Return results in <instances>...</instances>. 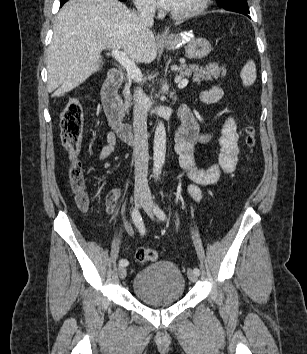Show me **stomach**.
I'll list each match as a JSON object with an SVG mask.
<instances>
[{
    "mask_svg": "<svg viewBox=\"0 0 307 354\" xmlns=\"http://www.w3.org/2000/svg\"><path fill=\"white\" fill-rule=\"evenodd\" d=\"M160 44L167 49H178L187 43L185 47L186 56L190 59H203L212 50L210 42L205 38H194L191 32L170 34L160 39Z\"/></svg>",
    "mask_w": 307,
    "mask_h": 354,
    "instance_id": "0dacf381",
    "label": "stomach"
}]
</instances>
